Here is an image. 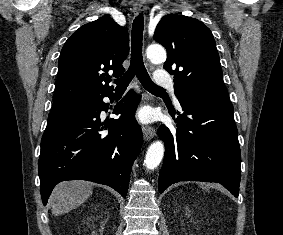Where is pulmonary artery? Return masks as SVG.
<instances>
[{"label":"pulmonary artery","instance_id":"obj_1","mask_svg":"<svg viewBox=\"0 0 283 235\" xmlns=\"http://www.w3.org/2000/svg\"><path fill=\"white\" fill-rule=\"evenodd\" d=\"M156 82L159 86H164L173 89V81L164 71H157L155 74Z\"/></svg>","mask_w":283,"mask_h":235}]
</instances>
